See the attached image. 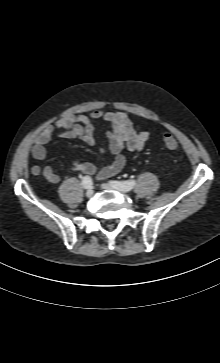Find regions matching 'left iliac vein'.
I'll return each mask as SVG.
<instances>
[{
	"mask_svg": "<svg viewBox=\"0 0 220 363\" xmlns=\"http://www.w3.org/2000/svg\"><path fill=\"white\" fill-rule=\"evenodd\" d=\"M101 187L103 189H106V190H116V191H119V192H125V191H123L121 189H118V188H116V187H114L112 185H109V184H102Z\"/></svg>",
	"mask_w": 220,
	"mask_h": 363,
	"instance_id": "1",
	"label": "left iliac vein"
}]
</instances>
